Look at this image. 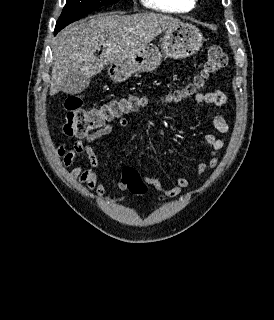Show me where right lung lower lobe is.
Instances as JSON below:
<instances>
[{
    "instance_id": "98d812e1",
    "label": "right lung lower lobe",
    "mask_w": 274,
    "mask_h": 320,
    "mask_svg": "<svg viewBox=\"0 0 274 320\" xmlns=\"http://www.w3.org/2000/svg\"><path fill=\"white\" fill-rule=\"evenodd\" d=\"M59 31H54V35H56Z\"/></svg>"
}]
</instances>
